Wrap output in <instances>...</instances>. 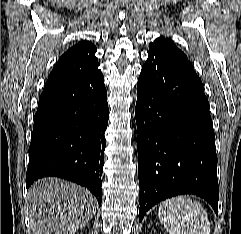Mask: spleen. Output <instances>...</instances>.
Instances as JSON below:
<instances>
[{"label": "spleen", "mask_w": 241, "mask_h": 234, "mask_svg": "<svg viewBox=\"0 0 241 234\" xmlns=\"http://www.w3.org/2000/svg\"><path fill=\"white\" fill-rule=\"evenodd\" d=\"M158 217L170 234H210L208 215L202 204L185 195L163 201Z\"/></svg>", "instance_id": "obj_1"}]
</instances>
